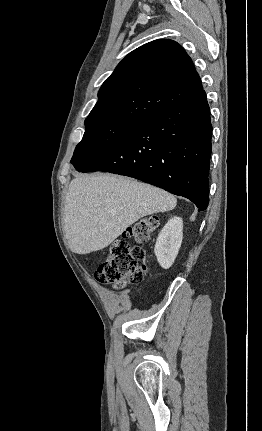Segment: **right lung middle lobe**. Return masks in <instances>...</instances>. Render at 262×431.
<instances>
[{
  "mask_svg": "<svg viewBox=\"0 0 262 431\" xmlns=\"http://www.w3.org/2000/svg\"><path fill=\"white\" fill-rule=\"evenodd\" d=\"M138 122H106L85 124L86 131L77 145L71 163L82 172L98 160Z\"/></svg>",
  "mask_w": 262,
  "mask_h": 431,
  "instance_id": "1",
  "label": "right lung middle lobe"
}]
</instances>
